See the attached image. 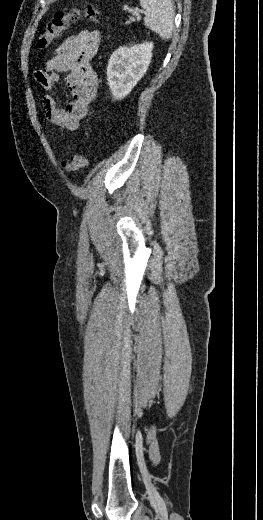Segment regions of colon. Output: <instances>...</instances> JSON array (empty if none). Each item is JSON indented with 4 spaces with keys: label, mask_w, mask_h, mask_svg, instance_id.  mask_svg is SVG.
<instances>
[{
    "label": "colon",
    "mask_w": 263,
    "mask_h": 520,
    "mask_svg": "<svg viewBox=\"0 0 263 520\" xmlns=\"http://www.w3.org/2000/svg\"><path fill=\"white\" fill-rule=\"evenodd\" d=\"M86 18L93 22H101L102 15L99 9L93 4H87L84 8H69L58 11L46 25L44 31L38 38L36 47L39 50L47 49L71 23ZM88 160L85 154H77L68 160L61 162L62 169L67 173H75L87 166Z\"/></svg>",
    "instance_id": "5ec220e1"
}]
</instances>
